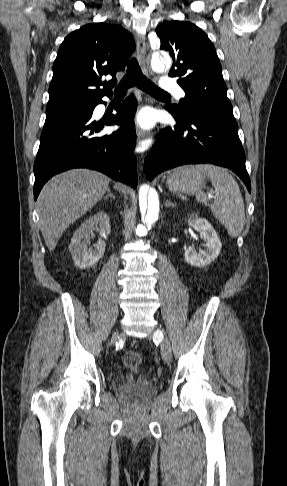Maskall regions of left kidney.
<instances>
[{"label":"left kidney","instance_id":"left-kidney-1","mask_svg":"<svg viewBox=\"0 0 287 486\" xmlns=\"http://www.w3.org/2000/svg\"><path fill=\"white\" fill-rule=\"evenodd\" d=\"M188 225L200 233L206 242V249L199 252L192 248L185 250V261L191 266L204 267L213 262L219 255L222 243L208 220L200 218L197 213H191L188 217Z\"/></svg>","mask_w":287,"mask_h":486}]
</instances>
